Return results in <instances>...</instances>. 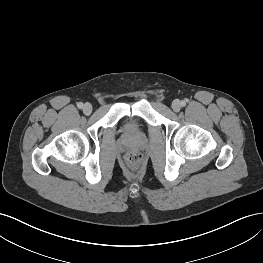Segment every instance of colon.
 <instances>
[{
    "mask_svg": "<svg viewBox=\"0 0 263 263\" xmlns=\"http://www.w3.org/2000/svg\"><path fill=\"white\" fill-rule=\"evenodd\" d=\"M126 161L131 165H139L142 161V155L137 152H130L126 156Z\"/></svg>",
    "mask_w": 263,
    "mask_h": 263,
    "instance_id": "5ec220e1",
    "label": "colon"
}]
</instances>
